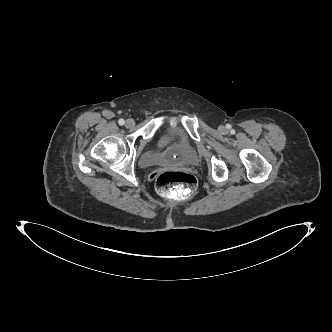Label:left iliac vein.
<instances>
[{"label": "left iliac vein", "instance_id": "4c4485c4", "mask_svg": "<svg viewBox=\"0 0 332 332\" xmlns=\"http://www.w3.org/2000/svg\"><path fill=\"white\" fill-rule=\"evenodd\" d=\"M220 130H224V128H223V127H221V128H220Z\"/></svg>", "mask_w": 332, "mask_h": 332}]
</instances>
